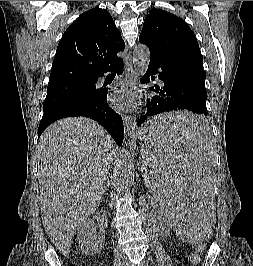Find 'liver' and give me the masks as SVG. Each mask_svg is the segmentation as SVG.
<instances>
[{
    "label": "liver",
    "mask_w": 253,
    "mask_h": 266,
    "mask_svg": "<svg viewBox=\"0 0 253 266\" xmlns=\"http://www.w3.org/2000/svg\"><path fill=\"white\" fill-rule=\"evenodd\" d=\"M117 150L103 127L83 117L56 121L41 135L37 145L41 218L62 254L70 253L74 233L100 205Z\"/></svg>",
    "instance_id": "liver-1"
}]
</instances>
